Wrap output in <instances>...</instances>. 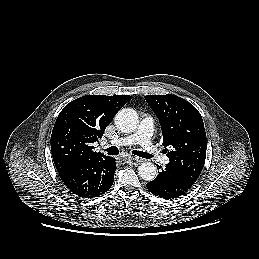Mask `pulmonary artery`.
<instances>
[{
  "label": "pulmonary artery",
  "mask_w": 259,
  "mask_h": 259,
  "mask_svg": "<svg viewBox=\"0 0 259 259\" xmlns=\"http://www.w3.org/2000/svg\"><path fill=\"white\" fill-rule=\"evenodd\" d=\"M153 125L154 121L152 117H145L142 119L139 129L135 134L118 138L112 141V144L119 147H125L131 146L135 143H140L145 153L153 157H157L163 164H167L169 159L161 155L156 145L151 141Z\"/></svg>",
  "instance_id": "obj_1"
}]
</instances>
